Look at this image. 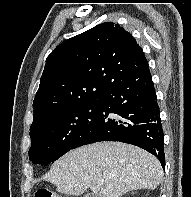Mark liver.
I'll return each mask as SVG.
<instances>
[{"instance_id":"liver-1","label":"liver","mask_w":191,"mask_h":197,"mask_svg":"<svg viewBox=\"0 0 191 197\" xmlns=\"http://www.w3.org/2000/svg\"><path fill=\"white\" fill-rule=\"evenodd\" d=\"M44 179L66 195L79 196L90 188L97 197H121L131 190L157 188L163 170L149 152L131 144L105 141L67 152Z\"/></svg>"}]
</instances>
